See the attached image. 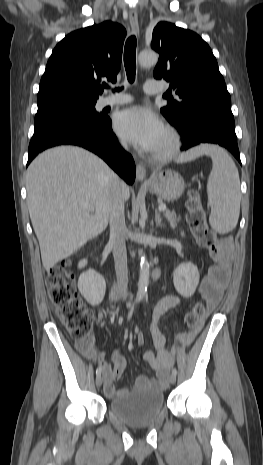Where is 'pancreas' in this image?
<instances>
[{
    "instance_id": "cf45deb5",
    "label": "pancreas",
    "mask_w": 263,
    "mask_h": 465,
    "mask_svg": "<svg viewBox=\"0 0 263 465\" xmlns=\"http://www.w3.org/2000/svg\"><path fill=\"white\" fill-rule=\"evenodd\" d=\"M165 217H166V219L168 220V222L170 223V225L172 227H176L177 223L180 220V217L177 216L176 213L173 212V211H166L165 212Z\"/></svg>"
}]
</instances>
